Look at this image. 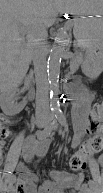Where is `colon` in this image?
<instances>
[{"label": "colon", "instance_id": "colon-1", "mask_svg": "<svg viewBox=\"0 0 103 193\" xmlns=\"http://www.w3.org/2000/svg\"><path fill=\"white\" fill-rule=\"evenodd\" d=\"M103 116V105L96 103L92 113L89 116L88 133L91 135L88 143L81 151L76 152L70 160V167L74 171H81L86 167V159L89 153H98L103 146V131L101 126ZM10 130L8 127L1 128V135L3 138H9ZM11 137V136H10ZM17 191V190H16ZM18 193V192H16Z\"/></svg>", "mask_w": 103, "mask_h": 193}]
</instances>
